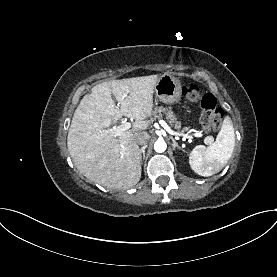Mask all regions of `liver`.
I'll list each match as a JSON object with an SVG mask.
<instances>
[{"label":"liver","mask_w":277,"mask_h":277,"mask_svg":"<svg viewBox=\"0 0 277 277\" xmlns=\"http://www.w3.org/2000/svg\"><path fill=\"white\" fill-rule=\"evenodd\" d=\"M158 75L100 83L76 108L67 147L76 168L90 181L110 189H129L141 178V156L134 134L148 129ZM112 95L120 104L115 105ZM122 116L133 127L114 136L109 126Z\"/></svg>","instance_id":"liver-1"}]
</instances>
